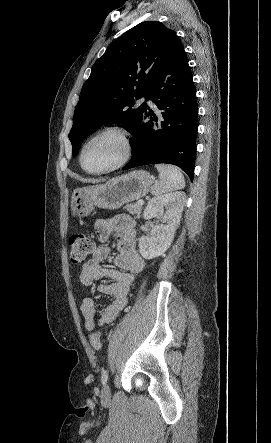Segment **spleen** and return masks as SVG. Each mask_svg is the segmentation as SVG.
I'll return each mask as SVG.
<instances>
[{"label": "spleen", "instance_id": "1", "mask_svg": "<svg viewBox=\"0 0 271 443\" xmlns=\"http://www.w3.org/2000/svg\"><path fill=\"white\" fill-rule=\"evenodd\" d=\"M159 172V180L155 182L151 188L152 196H162L167 192H173V190H183L185 188V180L183 174H181L178 168L174 166H163V164H156Z\"/></svg>", "mask_w": 271, "mask_h": 443}]
</instances>
